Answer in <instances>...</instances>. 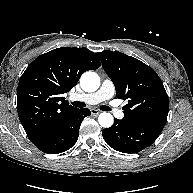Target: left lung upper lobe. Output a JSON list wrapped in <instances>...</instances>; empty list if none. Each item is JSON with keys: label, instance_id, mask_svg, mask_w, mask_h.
<instances>
[{"label": "left lung upper lobe", "instance_id": "left-lung-upper-lobe-1", "mask_svg": "<svg viewBox=\"0 0 193 193\" xmlns=\"http://www.w3.org/2000/svg\"><path fill=\"white\" fill-rule=\"evenodd\" d=\"M113 81L119 99H128L123 107L126 124L165 122L169 111L168 96L156 72L140 60L105 50L96 53Z\"/></svg>", "mask_w": 193, "mask_h": 193}]
</instances>
